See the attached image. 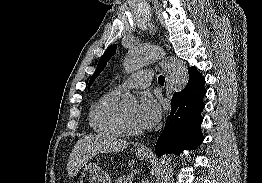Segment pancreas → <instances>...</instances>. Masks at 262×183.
<instances>
[{
	"mask_svg": "<svg viewBox=\"0 0 262 183\" xmlns=\"http://www.w3.org/2000/svg\"><path fill=\"white\" fill-rule=\"evenodd\" d=\"M115 183H132V176L122 175L116 179Z\"/></svg>",
	"mask_w": 262,
	"mask_h": 183,
	"instance_id": "pancreas-1",
	"label": "pancreas"
}]
</instances>
